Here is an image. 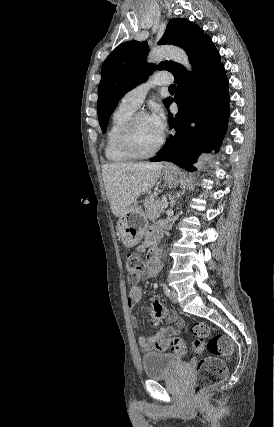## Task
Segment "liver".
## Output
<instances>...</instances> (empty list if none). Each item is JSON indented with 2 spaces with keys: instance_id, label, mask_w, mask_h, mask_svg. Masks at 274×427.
Returning <instances> with one entry per match:
<instances>
[{
  "instance_id": "1",
  "label": "liver",
  "mask_w": 274,
  "mask_h": 427,
  "mask_svg": "<svg viewBox=\"0 0 274 427\" xmlns=\"http://www.w3.org/2000/svg\"><path fill=\"white\" fill-rule=\"evenodd\" d=\"M162 162L154 164H104L102 178L112 210L119 217L130 210L137 198L155 186L161 176Z\"/></svg>"
}]
</instances>
